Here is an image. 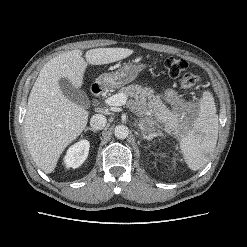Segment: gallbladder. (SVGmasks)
Returning a JSON list of instances; mask_svg holds the SVG:
<instances>
[{
    "instance_id": "bac80fb5",
    "label": "gallbladder",
    "mask_w": 247,
    "mask_h": 247,
    "mask_svg": "<svg viewBox=\"0 0 247 247\" xmlns=\"http://www.w3.org/2000/svg\"><path fill=\"white\" fill-rule=\"evenodd\" d=\"M60 89L63 95L72 102L87 108L90 104L89 99L84 91L76 88L67 78L59 80Z\"/></svg>"
}]
</instances>
